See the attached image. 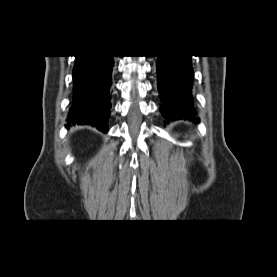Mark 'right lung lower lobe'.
I'll list each match as a JSON object with an SVG mask.
<instances>
[{
    "label": "right lung lower lobe",
    "instance_id": "1",
    "mask_svg": "<svg viewBox=\"0 0 277 277\" xmlns=\"http://www.w3.org/2000/svg\"><path fill=\"white\" fill-rule=\"evenodd\" d=\"M113 56H76L73 68L74 94L68 124L91 125L107 132ZM69 127V126H68Z\"/></svg>",
    "mask_w": 277,
    "mask_h": 277
}]
</instances>
